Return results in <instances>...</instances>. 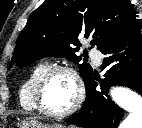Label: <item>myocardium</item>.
<instances>
[{"label":"myocardium","mask_w":142,"mask_h":128,"mask_svg":"<svg viewBox=\"0 0 142 128\" xmlns=\"http://www.w3.org/2000/svg\"><path fill=\"white\" fill-rule=\"evenodd\" d=\"M58 72L68 73L72 77L75 84L76 93H75L74 102L67 110L63 112L55 113V112L48 111L43 106L42 95H43V91L48 79L53 74ZM34 97H35V104H36L37 110L40 113L50 118L61 119L75 113L80 108L85 98V86L80 74L74 67L70 65H66V64L52 65V66H49L39 77L35 86Z\"/></svg>","instance_id":"f54148a6"}]
</instances>
